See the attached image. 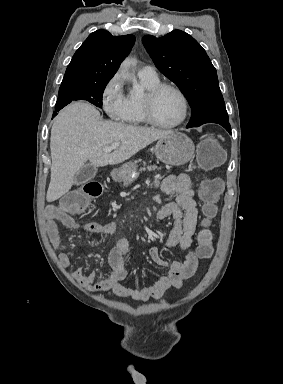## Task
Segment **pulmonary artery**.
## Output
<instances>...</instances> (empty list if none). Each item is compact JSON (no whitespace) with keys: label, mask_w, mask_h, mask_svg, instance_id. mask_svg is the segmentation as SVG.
Wrapping results in <instances>:
<instances>
[{"label":"pulmonary artery","mask_w":283,"mask_h":384,"mask_svg":"<svg viewBox=\"0 0 283 384\" xmlns=\"http://www.w3.org/2000/svg\"><path fill=\"white\" fill-rule=\"evenodd\" d=\"M137 74L140 78H143L145 80H149V81L158 80L157 73L150 66H144V67L139 68L137 71Z\"/></svg>","instance_id":"1"}]
</instances>
